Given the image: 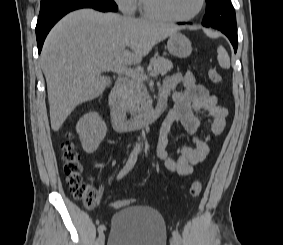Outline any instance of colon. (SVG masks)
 <instances>
[{
	"label": "colon",
	"instance_id": "colon-1",
	"mask_svg": "<svg viewBox=\"0 0 283 245\" xmlns=\"http://www.w3.org/2000/svg\"><path fill=\"white\" fill-rule=\"evenodd\" d=\"M208 76L211 82L218 84L222 81L221 74L214 68L208 70ZM63 152V168L67 177V183L70 187L73 197L83 203V205L91 209L96 204V191L93 187L86 184L82 178V164L80 156L77 153L74 144L72 143V136L68 134L62 144ZM202 192V184L198 180H194L190 184L189 193L192 197H198ZM131 202L127 200H117L111 202V206L115 208L130 205Z\"/></svg>",
	"mask_w": 283,
	"mask_h": 245
}]
</instances>
